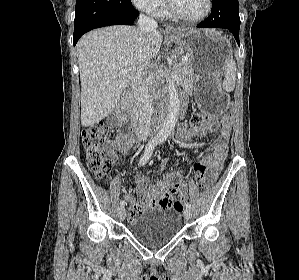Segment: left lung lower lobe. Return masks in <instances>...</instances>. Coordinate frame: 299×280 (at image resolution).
<instances>
[{
  "label": "left lung lower lobe",
  "instance_id": "1",
  "mask_svg": "<svg viewBox=\"0 0 299 280\" xmlns=\"http://www.w3.org/2000/svg\"><path fill=\"white\" fill-rule=\"evenodd\" d=\"M199 28H225L228 29L235 37L236 42H239V6L238 0H212V11L210 16L201 24Z\"/></svg>",
  "mask_w": 299,
  "mask_h": 280
}]
</instances>
